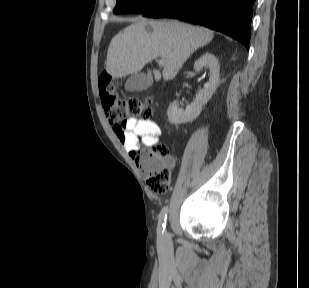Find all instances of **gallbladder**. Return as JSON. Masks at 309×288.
<instances>
[{
    "mask_svg": "<svg viewBox=\"0 0 309 288\" xmlns=\"http://www.w3.org/2000/svg\"><path fill=\"white\" fill-rule=\"evenodd\" d=\"M153 83L151 73H135L128 77L125 83L127 91H144Z\"/></svg>",
    "mask_w": 309,
    "mask_h": 288,
    "instance_id": "1",
    "label": "gallbladder"
}]
</instances>
